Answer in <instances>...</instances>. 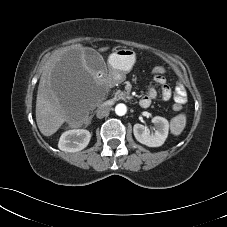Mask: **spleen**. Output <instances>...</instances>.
Wrapping results in <instances>:
<instances>
[{"mask_svg":"<svg viewBox=\"0 0 227 227\" xmlns=\"http://www.w3.org/2000/svg\"><path fill=\"white\" fill-rule=\"evenodd\" d=\"M186 126V116L180 114L171 120V132L174 135H179Z\"/></svg>","mask_w":227,"mask_h":227,"instance_id":"3e777b00","label":"spleen"}]
</instances>
